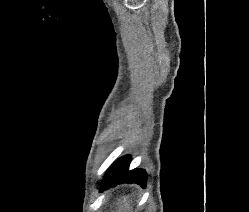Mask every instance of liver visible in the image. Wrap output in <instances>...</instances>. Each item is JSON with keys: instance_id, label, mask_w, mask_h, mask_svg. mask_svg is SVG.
<instances>
[{"instance_id": "liver-1", "label": "liver", "mask_w": 249, "mask_h": 212, "mask_svg": "<svg viewBox=\"0 0 249 212\" xmlns=\"http://www.w3.org/2000/svg\"><path fill=\"white\" fill-rule=\"evenodd\" d=\"M117 206V212H134L133 202L130 196H124L123 200H118Z\"/></svg>"}]
</instances>
